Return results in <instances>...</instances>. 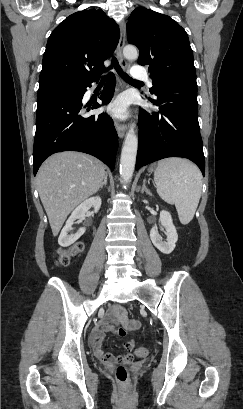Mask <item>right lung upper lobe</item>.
Returning <instances> with one entry per match:
<instances>
[{
	"mask_svg": "<svg viewBox=\"0 0 243 409\" xmlns=\"http://www.w3.org/2000/svg\"><path fill=\"white\" fill-rule=\"evenodd\" d=\"M120 36L115 21L101 9L76 12L51 33L40 79L62 77L84 84L99 77L103 62L114 52Z\"/></svg>",
	"mask_w": 243,
	"mask_h": 409,
	"instance_id": "obj_1",
	"label": "right lung upper lobe"
}]
</instances>
